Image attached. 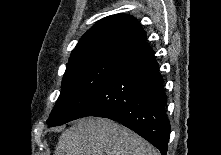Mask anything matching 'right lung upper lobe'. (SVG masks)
Masks as SVG:
<instances>
[{"mask_svg": "<svg viewBox=\"0 0 221 155\" xmlns=\"http://www.w3.org/2000/svg\"><path fill=\"white\" fill-rule=\"evenodd\" d=\"M146 40V33L132 16L118 14L98 21L79 40L68 64L100 54L125 56Z\"/></svg>", "mask_w": 221, "mask_h": 155, "instance_id": "obj_1", "label": "right lung upper lobe"}]
</instances>
